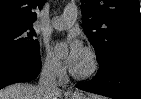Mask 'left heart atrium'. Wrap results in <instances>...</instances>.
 Returning <instances> with one entry per match:
<instances>
[{"instance_id":"39dd6f15","label":"left heart atrium","mask_w":141,"mask_h":99,"mask_svg":"<svg viewBox=\"0 0 141 99\" xmlns=\"http://www.w3.org/2000/svg\"><path fill=\"white\" fill-rule=\"evenodd\" d=\"M85 53L83 44L74 36L67 39L65 61L70 68H75Z\"/></svg>"}]
</instances>
